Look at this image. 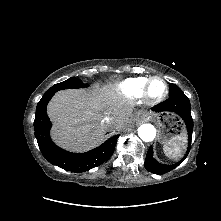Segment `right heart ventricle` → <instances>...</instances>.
<instances>
[{
  "mask_svg": "<svg viewBox=\"0 0 221 221\" xmlns=\"http://www.w3.org/2000/svg\"><path fill=\"white\" fill-rule=\"evenodd\" d=\"M148 80L149 77L128 78L117 86L118 94L127 99L139 98Z\"/></svg>",
  "mask_w": 221,
  "mask_h": 221,
  "instance_id": "e07e8e85",
  "label": "right heart ventricle"
}]
</instances>
